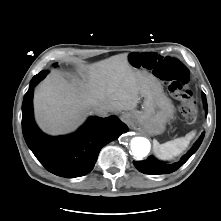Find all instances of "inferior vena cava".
I'll use <instances>...</instances> for the list:
<instances>
[{"label": "inferior vena cava", "mask_w": 221, "mask_h": 221, "mask_svg": "<svg viewBox=\"0 0 221 221\" xmlns=\"http://www.w3.org/2000/svg\"><path fill=\"white\" fill-rule=\"evenodd\" d=\"M95 114H97L98 116H101V117H106L108 115V111L103 108H97L95 110Z\"/></svg>", "instance_id": "1"}]
</instances>
